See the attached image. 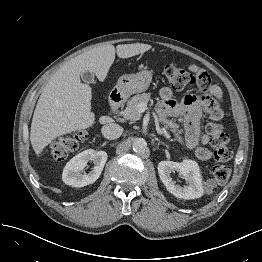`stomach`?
Here are the masks:
<instances>
[{"label":"stomach","instance_id":"stomach-1","mask_svg":"<svg viewBox=\"0 0 262 262\" xmlns=\"http://www.w3.org/2000/svg\"><path fill=\"white\" fill-rule=\"evenodd\" d=\"M153 72L142 70L136 74L123 75L118 79L115 89L123 96L146 91L152 82Z\"/></svg>","mask_w":262,"mask_h":262}]
</instances>
